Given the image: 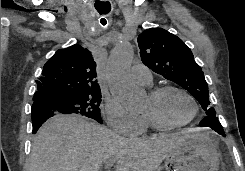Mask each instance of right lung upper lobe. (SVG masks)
I'll use <instances>...</instances> for the list:
<instances>
[{
  "label": "right lung upper lobe",
  "instance_id": "1",
  "mask_svg": "<svg viewBox=\"0 0 245 171\" xmlns=\"http://www.w3.org/2000/svg\"><path fill=\"white\" fill-rule=\"evenodd\" d=\"M33 100L53 95L101 93L96 80V63L88 49L75 44L59 49L45 63Z\"/></svg>",
  "mask_w": 245,
  "mask_h": 171
}]
</instances>
